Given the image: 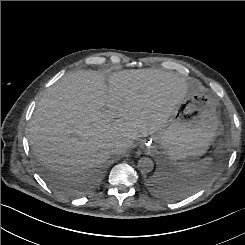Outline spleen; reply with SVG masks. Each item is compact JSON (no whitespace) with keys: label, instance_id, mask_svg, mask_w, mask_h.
Instances as JSON below:
<instances>
[{"label":"spleen","instance_id":"obj_1","mask_svg":"<svg viewBox=\"0 0 245 245\" xmlns=\"http://www.w3.org/2000/svg\"><path fill=\"white\" fill-rule=\"evenodd\" d=\"M212 164V158L206 157L198 162L180 163L179 170L184 176L191 177L206 170Z\"/></svg>","mask_w":245,"mask_h":245}]
</instances>
